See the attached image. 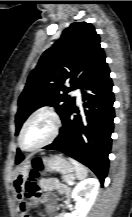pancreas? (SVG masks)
Segmentation results:
<instances>
[{
	"mask_svg": "<svg viewBox=\"0 0 132 217\" xmlns=\"http://www.w3.org/2000/svg\"><path fill=\"white\" fill-rule=\"evenodd\" d=\"M62 179H63V182H66L67 184H69L70 182H73L75 180V177L72 174H67V175H63Z\"/></svg>",
	"mask_w": 132,
	"mask_h": 217,
	"instance_id": "cf45deb5",
	"label": "pancreas"
}]
</instances>
